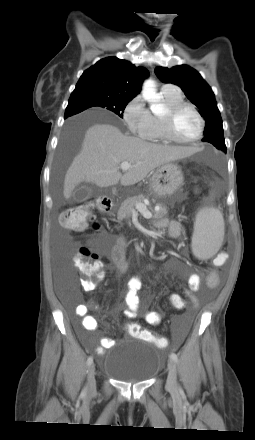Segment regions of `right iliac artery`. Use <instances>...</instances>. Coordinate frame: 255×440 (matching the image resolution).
<instances>
[{
	"label": "right iliac artery",
	"mask_w": 255,
	"mask_h": 440,
	"mask_svg": "<svg viewBox=\"0 0 255 440\" xmlns=\"http://www.w3.org/2000/svg\"><path fill=\"white\" fill-rule=\"evenodd\" d=\"M92 362H93V358H92V356L88 357V359H87V366H90V365L92 364ZM86 391H87V389H86V387H85V388L83 389V391H82V394L85 395V394H86Z\"/></svg>",
	"instance_id": "right-iliac-artery-1"
}]
</instances>
